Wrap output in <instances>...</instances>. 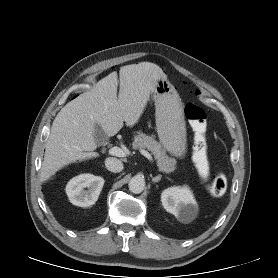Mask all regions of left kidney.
<instances>
[{
	"instance_id": "obj_1",
	"label": "left kidney",
	"mask_w": 278,
	"mask_h": 278,
	"mask_svg": "<svg viewBox=\"0 0 278 278\" xmlns=\"http://www.w3.org/2000/svg\"><path fill=\"white\" fill-rule=\"evenodd\" d=\"M164 209L183 223L191 222L197 215L198 205L189 187H171L162 192Z\"/></svg>"
}]
</instances>
